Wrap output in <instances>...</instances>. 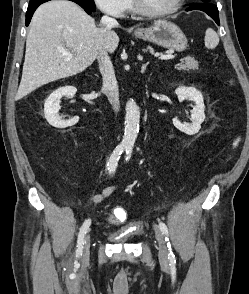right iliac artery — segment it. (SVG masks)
Wrapping results in <instances>:
<instances>
[{"label":"right iliac artery","mask_w":249,"mask_h":294,"mask_svg":"<svg viewBox=\"0 0 249 294\" xmlns=\"http://www.w3.org/2000/svg\"><path fill=\"white\" fill-rule=\"evenodd\" d=\"M127 147L124 145H118L114 151L112 152L109 162L107 164V169L110 174H113L116 170L118 160L120 159V155L124 152V150ZM91 224V220L87 219L83 223L82 227L80 228L79 234H78V240H77V249H76V257H80L83 252V245H84V236L87 232V229L89 228Z\"/></svg>","instance_id":"right-iliac-artery-1"}]
</instances>
